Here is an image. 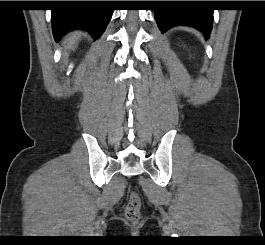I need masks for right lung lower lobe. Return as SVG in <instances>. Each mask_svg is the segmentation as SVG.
I'll return each instance as SVG.
<instances>
[{
    "label": "right lung lower lobe",
    "instance_id": "98d812e1",
    "mask_svg": "<svg viewBox=\"0 0 265 245\" xmlns=\"http://www.w3.org/2000/svg\"><path fill=\"white\" fill-rule=\"evenodd\" d=\"M72 7L52 10V28L56 42L71 30H84L98 39L111 19L107 1H72Z\"/></svg>",
    "mask_w": 265,
    "mask_h": 245
}]
</instances>
